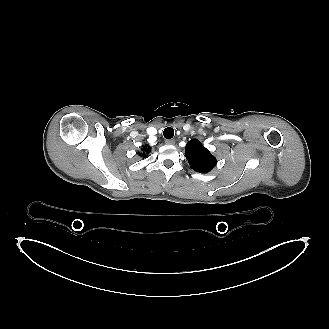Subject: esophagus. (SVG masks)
I'll return each mask as SVG.
<instances>
[{
	"instance_id": "obj_1",
	"label": "esophagus",
	"mask_w": 329,
	"mask_h": 329,
	"mask_svg": "<svg viewBox=\"0 0 329 329\" xmlns=\"http://www.w3.org/2000/svg\"><path fill=\"white\" fill-rule=\"evenodd\" d=\"M165 143L167 145H174L175 144V140L174 139H169V140H166Z\"/></svg>"
}]
</instances>
